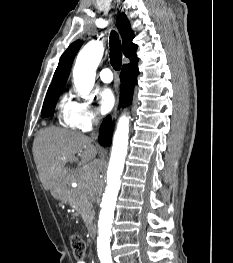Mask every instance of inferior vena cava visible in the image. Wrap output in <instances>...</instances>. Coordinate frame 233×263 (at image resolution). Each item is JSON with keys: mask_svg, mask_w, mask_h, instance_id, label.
<instances>
[{"mask_svg": "<svg viewBox=\"0 0 233 263\" xmlns=\"http://www.w3.org/2000/svg\"><path fill=\"white\" fill-rule=\"evenodd\" d=\"M98 123H99V119H98V118H94V119H93V124H94V125H98Z\"/></svg>", "mask_w": 233, "mask_h": 263, "instance_id": "1", "label": "inferior vena cava"}]
</instances>
